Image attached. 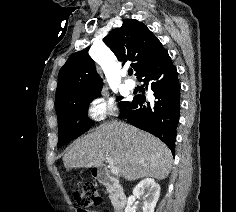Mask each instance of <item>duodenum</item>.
Masks as SVG:
<instances>
[{
	"label": "duodenum",
	"instance_id": "duodenum-1",
	"mask_svg": "<svg viewBox=\"0 0 236 212\" xmlns=\"http://www.w3.org/2000/svg\"><path fill=\"white\" fill-rule=\"evenodd\" d=\"M94 176L102 185H104L110 191L115 212H122L126 203V195L120 183L111 175L109 170L104 166L96 168L94 170Z\"/></svg>",
	"mask_w": 236,
	"mask_h": 212
}]
</instances>
